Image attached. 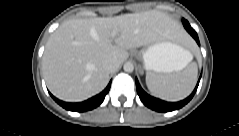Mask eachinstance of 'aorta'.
I'll list each match as a JSON object with an SVG mask.
<instances>
[{
  "label": "aorta",
  "instance_id": "obj_1",
  "mask_svg": "<svg viewBox=\"0 0 239 136\" xmlns=\"http://www.w3.org/2000/svg\"><path fill=\"white\" fill-rule=\"evenodd\" d=\"M125 72L131 73L134 70V65L131 62H126L123 66Z\"/></svg>",
  "mask_w": 239,
  "mask_h": 136
}]
</instances>
